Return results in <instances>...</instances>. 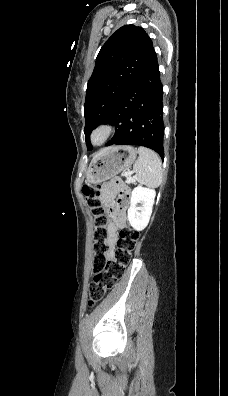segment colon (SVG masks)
<instances>
[{"label": "colon", "mask_w": 228, "mask_h": 396, "mask_svg": "<svg viewBox=\"0 0 228 396\" xmlns=\"http://www.w3.org/2000/svg\"><path fill=\"white\" fill-rule=\"evenodd\" d=\"M122 197L129 192L124 182L115 179ZM100 185H84L82 194L90 207L94 219L93 269L96 271L94 281L89 288V304L101 301L122 277L124 268L132 258L137 246L139 233L131 228H124L120 233L117 248L110 246L111 233L108 229V218L105 215L100 199Z\"/></svg>", "instance_id": "5ec220e1"}]
</instances>
